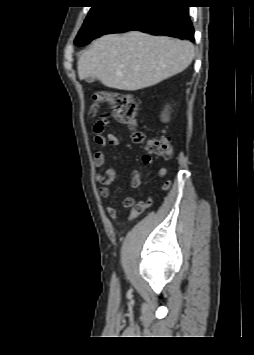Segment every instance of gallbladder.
Masks as SVG:
<instances>
[{"label": "gallbladder", "mask_w": 254, "mask_h": 355, "mask_svg": "<svg viewBox=\"0 0 254 355\" xmlns=\"http://www.w3.org/2000/svg\"><path fill=\"white\" fill-rule=\"evenodd\" d=\"M85 80H86V82H88V83H92V82H94L95 78L92 77V76H88Z\"/></svg>", "instance_id": "bac80fb5"}]
</instances>
